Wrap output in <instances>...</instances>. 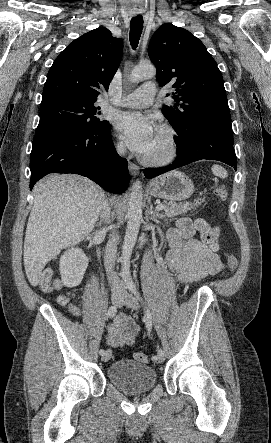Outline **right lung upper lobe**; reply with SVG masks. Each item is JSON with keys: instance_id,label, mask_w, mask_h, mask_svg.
Returning a JSON list of instances; mask_svg holds the SVG:
<instances>
[{"instance_id": "right-lung-upper-lobe-1", "label": "right lung upper lobe", "mask_w": 271, "mask_h": 443, "mask_svg": "<svg viewBox=\"0 0 271 443\" xmlns=\"http://www.w3.org/2000/svg\"><path fill=\"white\" fill-rule=\"evenodd\" d=\"M122 52V39L104 27L74 40L49 69L41 103L56 99L94 103L103 88L108 90Z\"/></svg>"}]
</instances>
